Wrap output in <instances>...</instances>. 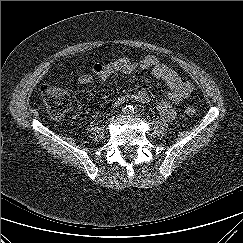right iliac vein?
I'll use <instances>...</instances> for the list:
<instances>
[{
	"label": "right iliac vein",
	"mask_w": 243,
	"mask_h": 243,
	"mask_svg": "<svg viewBox=\"0 0 243 243\" xmlns=\"http://www.w3.org/2000/svg\"><path fill=\"white\" fill-rule=\"evenodd\" d=\"M113 121H114V119H113V118L109 120V122H113Z\"/></svg>",
	"instance_id": "63e3f726"
}]
</instances>
